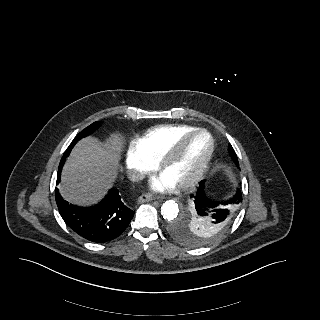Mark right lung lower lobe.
<instances>
[{"instance_id":"obj_1","label":"right lung lower lobe","mask_w":320,"mask_h":320,"mask_svg":"<svg viewBox=\"0 0 320 320\" xmlns=\"http://www.w3.org/2000/svg\"><path fill=\"white\" fill-rule=\"evenodd\" d=\"M61 170H58L57 182ZM56 203L65 223L78 235L88 241L104 243L110 241L127 228L135 211L121 200L119 190L110 189L105 198L91 207H79L63 200L58 189Z\"/></svg>"}]
</instances>
